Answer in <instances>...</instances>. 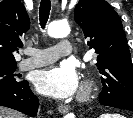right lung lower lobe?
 <instances>
[{"instance_id":"obj_1","label":"right lung lower lobe","mask_w":133,"mask_h":118,"mask_svg":"<svg viewBox=\"0 0 133 118\" xmlns=\"http://www.w3.org/2000/svg\"><path fill=\"white\" fill-rule=\"evenodd\" d=\"M0 105L35 116L39 100L30 90L28 82L21 81L13 86L0 87Z\"/></svg>"}]
</instances>
